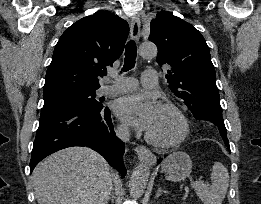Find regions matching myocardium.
<instances>
[{
  "label": "myocardium",
  "mask_w": 261,
  "mask_h": 204,
  "mask_svg": "<svg viewBox=\"0 0 261 204\" xmlns=\"http://www.w3.org/2000/svg\"><path fill=\"white\" fill-rule=\"evenodd\" d=\"M157 107L163 108V109H168L177 116V118L180 121V125H181L180 133L176 138H174L172 140L160 141V140L153 138L146 132L145 139L151 145H153L155 147H159V148H171V147L179 145L186 139V137L188 136V133H189V129H190L189 121H188L186 115L180 109V107H178L176 104H174L172 102H168V101L160 102V103H158Z\"/></svg>",
  "instance_id": "myocardium-1"
}]
</instances>
